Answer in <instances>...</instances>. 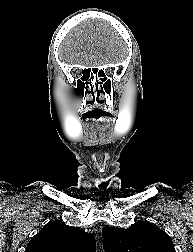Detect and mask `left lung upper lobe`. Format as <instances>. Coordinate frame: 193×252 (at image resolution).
Masks as SVG:
<instances>
[{"instance_id":"obj_1","label":"left lung upper lobe","mask_w":193,"mask_h":252,"mask_svg":"<svg viewBox=\"0 0 193 252\" xmlns=\"http://www.w3.org/2000/svg\"><path fill=\"white\" fill-rule=\"evenodd\" d=\"M102 235L106 252H176L170 236L146 221L127 229L106 226Z\"/></svg>"}]
</instances>
